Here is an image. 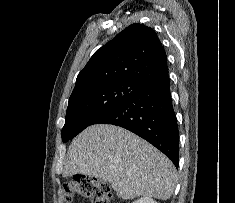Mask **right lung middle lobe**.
<instances>
[{"mask_svg": "<svg viewBox=\"0 0 235 203\" xmlns=\"http://www.w3.org/2000/svg\"><path fill=\"white\" fill-rule=\"evenodd\" d=\"M143 87L138 82L115 80L96 83L72 92L61 132L63 142L94 124Z\"/></svg>", "mask_w": 235, "mask_h": 203, "instance_id": "1", "label": "right lung middle lobe"}]
</instances>
